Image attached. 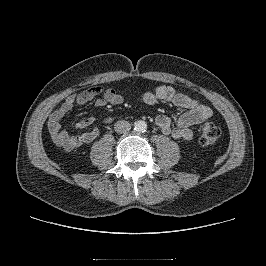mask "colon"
I'll use <instances>...</instances> for the list:
<instances>
[{
  "label": "colon",
  "instance_id": "colon-1",
  "mask_svg": "<svg viewBox=\"0 0 266 266\" xmlns=\"http://www.w3.org/2000/svg\"><path fill=\"white\" fill-rule=\"evenodd\" d=\"M102 91L101 87H94L90 89L89 95L94 96ZM221 135V131L218 126L213 123H205L202 125L199 134V144L203 147L211 146L217 142Z\"/></svg>",
  "mask_w": 266,
  "mask_h": 266
}]
</instances>
